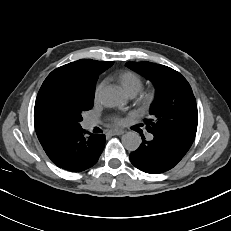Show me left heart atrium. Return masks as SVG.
Masks as SVG:
<instances>
[{
  "mask_svg": "<svg viewBox=\"0 0 231 231\" xmlns=\"http://www.w3.org/2000/svg\"><path fill=\"white\" fill-rule=\"evenodd\" d=\"M114 123L117 124V125H121V124L124 123V119L121 118V117H116V118L114 119Z\"/></svg>",
  "mask_w": 231,
  "mask_h": 231,
  "instance_id": "obj_1",
  "label": "left heart atrium"
}]
</instances>
